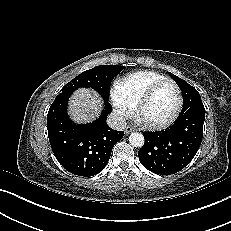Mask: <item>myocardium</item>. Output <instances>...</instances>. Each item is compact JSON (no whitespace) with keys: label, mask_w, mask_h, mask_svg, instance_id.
I'll list each match as a JSON object with an SVG mask.
<instances>
[{"label":"myocardium","mask_w":231,"mask_h":231,"mask_svg":"<svg viewBox=\"0 0 231 231\" xmlns=\"http://www.w3.org/2000/svg\"><path fill=\"white\" fill-rule=\"evenodd\" d=\"M164 84H171L174 86L175 91H176V95H177V101H176V105L175 108L172 112V114L169 116V118H167L166 120L162 121V122H151V121H147L145 119L142 118V110L145 106V104L147 103V101L150 99V97L153 95V93L162 85ZM182 106V93L180 90V87L178 86V84L169 78L163 79L157 83H155L154 85H152L142 96L141 98L138 100V102L136 103L135 106V110H134V118L136 119L137 122H139L140 124L148 127V128H152V129H160V128H164L168 125H170L178 116L180 109Z\"/></svg>","instance_id":"obj_1"}]
</instances>
